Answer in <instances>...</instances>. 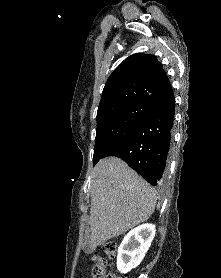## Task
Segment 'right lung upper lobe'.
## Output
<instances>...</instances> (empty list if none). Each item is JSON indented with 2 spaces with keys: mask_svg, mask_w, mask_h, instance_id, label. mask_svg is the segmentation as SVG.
I'll use <instances>...</instances> for the list:
<instances>
[{
  "mask_svg": "<svg viewBox=\"0 0 221 278\" xmlns=\"http://www.w3.org/2000/svg\"><path fill=\"white\" fill-rule=\"evenodd\" d=\"M170 87L156 57L142 53L131 55L108 78L97 116L132 102H146Z\"/></svg>",
  "mask_w": 221,
  "mask_h": 278,
  "instance_id": "obj_1",
  "label": "right lung upper lobe"
}]
</instances>
